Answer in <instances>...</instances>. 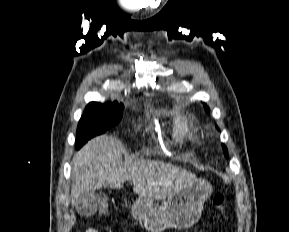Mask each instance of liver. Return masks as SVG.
Returning <instances> with one entry per match:
<instances>
[{"instance_id":"1","label":"liver","mask_w":289,"mask_h":232,"mask_svg":"<svg viewBox=\"0 0 289 232\" xmlns=\"http://www.w3.org/2000/svg\"><path fill=\"white\" fill-rule=\"evenodd\" d=\"M122 143L107 135L97 136L84 145L71 164V203L77 206L80 195L97 189H120L126 181L142 198L160 201L170 197L196 179L193 173L162 161L122 160Z\"/></svg>"}]
</instances>
